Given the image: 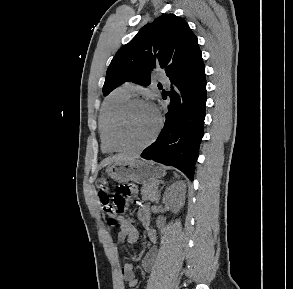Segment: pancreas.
<instances>
[{"label":"pancreas","instance_id":"obj_1","mask_svg":"<svg viewBox=\"0 0 293 289\" xmlns=\"http://www.w3.org/2000/svg\"><path fill=\"white\" fill-rule=\"evenodd\" d=\"M141 195L143 200L151 202H158L159 200L158 188L153 183L144 184L141 188Z\"/></svg>","mask_w":293,"mask_h":289}]
</instances>
